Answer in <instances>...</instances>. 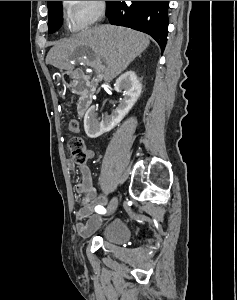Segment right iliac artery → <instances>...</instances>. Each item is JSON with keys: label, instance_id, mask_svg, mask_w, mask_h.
I'll return each instance as SVG.
<instances>
[{"label": "right iliac artery", "instance_id": "1", "mask_svg": "<svg viewBox=\"0 0 237 300\" xmlns=\"http://www.w3.org/2000/svg\"><path fill=\"white\" fill-rule=\"evenodd\" d=\"M95 211H96L97 213H99V214H104V213H106V209H105L103 206H100V205H98V206L95 207Z\"/></svg>", "mask_w": 237, "mask_h": 300}]
</instances>
